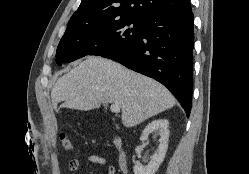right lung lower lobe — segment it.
Wrapping results in <instances>:
<instances>
[{
  "instance_id": "right-lung-lower-lobe-1",
  "label": "right lung lower lobe",
  "mask_w": 249,
  "mask_h": 174,
  "mask_svg": "<svg viewBox=\"0 0 249 174\" xmlns=\"http://www.w3.org/2000/svg\"><path fill=\"white\" fill-rule=\"evenodd\" d=\"M194 15L191 6L145 20L141 37L118 53L102 55L166 86L189 117L192 105Z\"/></svg>"
}]
</instances>
